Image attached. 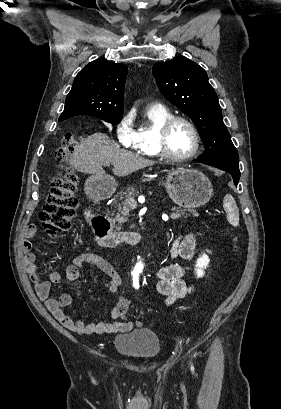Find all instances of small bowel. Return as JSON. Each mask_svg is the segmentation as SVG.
I'll list each match as a JSON object with an SVG mask.
<instances>
[{
	"label": "small bowel",
	"instance_id": "small-bowel-1",
	"mask_svg": "<svg viewBox=\"0 0 281 409\" xmlns=\"http://www.w3.org/2000/svg\"><path fill=\"white\" fill-rule=\"evenodd\" d=\"M37 228L30 224L26 230V240L23 242L24 263L37 293L38 298L45 304L52 315L67 329L84 335H106L127 333L135 327H141L140 321H131L124 318L128 308L129 299L120 296L110 313L111 322L85 323L82 320H74L64 309L71 303L69 294H62L59 298L50 297L51 284H57L62 279L74 281L79 278L84 266L91 264L106 274L109 279L105 282V289L108 295H117L122 283L121 276L111 263L96 254H81L77 256L73 263L65 268L64 273L53 272L49 280L43 279L37 271L35 255L31 252V242L29 239L35 237ZM195 238L191 234H179L174 239L169 256L172 259L181 258L191 260L195 255ZM156 291L165 298L167 306L191 295L194 291L193 285L186 280V267L183 264L172 263L160 267L155 272Z\"/></svg>",
	"mask_w": 281,
	"mask_h": 409
}]
</instances>
